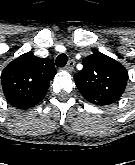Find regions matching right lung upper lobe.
I'll list each match as a JSON object with an SVG mask.
<instances>
[{"label":"right lung upper lobe","instance_id":"obj_1","mask_svg":"<svg viewBox=\"0 0 135 165\" xmlns=\"http://www.w3.org/2000/svg\"><path fill=\"white\" fill-rule=\"evenodd\" d=\"M55 74L52 60L39 58L31 52L22 54L2 71L4 95L14 107L23 110L33 107L44 98Z\"/></svg>","mask_w":135,"mask_h":165}]
</instances>
